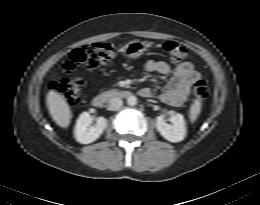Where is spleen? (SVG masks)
Segmentation results:
<instances>
[{"label": "spleen", "mask_w": 260, "mask_h": 205, "mask_svg": "<svg viewBox=\"0 0 260 205\" xmlns=\"http://www.w3.org/2000/svg\"><path fill=\"white\" fill-rule=\"evenodd\" d=\"M201 101L199 99L195 100L194 103L192 104L189 112V118L191 122H195L196 119L198 118L200 111H201Z\"/></svg>", "instance_id": "1"}]
</instances>
